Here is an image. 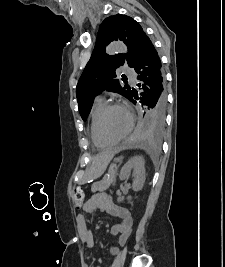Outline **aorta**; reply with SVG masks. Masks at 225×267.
Here are the masks:
<instances>
[{
	"instance_id": "762f6f07",
	"label": "aorta",
	"mask_w": 225,
	"mask_h": 267,
	"mask_svg": "<svg viewBox=\"0 0 225 267\" xmlns=\"http://www.w3.org/2000/svg\"><path fill=\"white\" fill-rule=\"evenodd\" d=\"M127 51V47L122 42H115L108 46L107 52L109 54H113L116 52L125 53Z\"/></svg>"
}]
</instances>
